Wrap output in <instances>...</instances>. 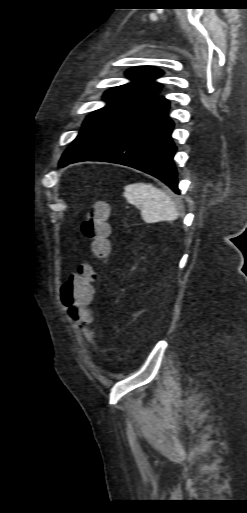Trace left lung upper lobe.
Masks as SVG:
<instances>
[{"mask_svg": "<svg viewBox=\"0 0 247 513\" xmlns=\"http://www.w3.org/2000/svg\"><path fill=\"white\" fill-rule=\"evenodd\" d=\"M162 74L161 70L147 66L128 70L126 75L132 82L108 90L104 95V99L108 101L107 106L90 114L85 120L84 126L159 88L161 85L155 79Z\"/></svg>", "mask_w": 247, "mask_h": 513, "instance_id": "obj_1", "label": "left lung upper lobe"}]
</instances>
